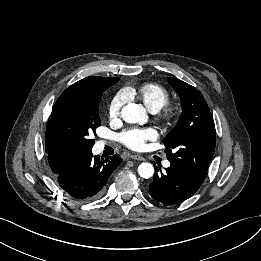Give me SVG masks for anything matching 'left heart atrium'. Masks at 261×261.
I'll return each instance as SVG.
<instances>
[{
  "mask_svg": "<svg viewBox=\"0 0 261 261\" xmlns=\"http://www.w3.org/2000/svg\"><path fill=\"white\" fill-rule=\"evenodd\" d=\"M157 137L158 133L154 128H130L119 135V140L132 150H141L147 141H153Z\"/></svg>",
  "mask_w": 261,
  "mask_h": 261,
  "instance_id": "left-heart-atrium-1",
  "label": "left heart atrium"
}]
</instances>
